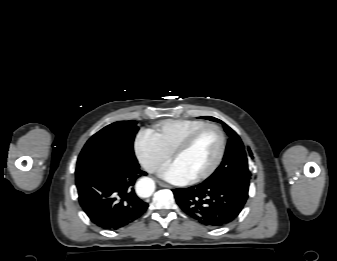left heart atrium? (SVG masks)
Here are the masks:
<instances>
[{
	"mask_svg": "<svg viewBox=\"0 0 337 261\" xmlns=\"http://www.w3.org/2000/svg\"><path fill=\"white\" fill-rule=\"evenodd\" d=\"M160 176L170 183L176 185H183L191 181V176L182 169V167L175 161L164 166L160 172Z\"/></svg>",
	"mask_w": 337,
	"mask_h": 261,
	"instance_id": "left-heart-atrium-1",
	"label": "left heart atrium"
}]
</instances>
